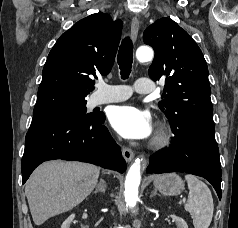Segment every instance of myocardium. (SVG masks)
Returning <instances> with one entry per match:
<instances>
[{"label":"myocardium","mask_w":238,"mask_h":228,"mask_svg":"<svg viewBox=\"0 0 238 228\" xmlns=\"http://www.w3.org/2000/svg\"><path fill=\"white\" fill-rule=\"evenodd\" d=\"M170 140L171 136L168 130L164 127H161L153 138L151 146L156 149L163 148L170 143Z\"/></svg>","instance_id":"myocardium-1"}]
</instances>
